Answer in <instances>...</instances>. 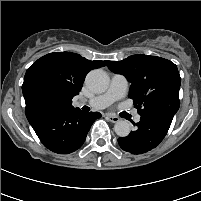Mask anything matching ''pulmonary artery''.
<instances>
[{
    "label": "pulmonary artery",
    "instance_id": "e3ab8cb5",
    "mask_svg": "<svg viewBox=\"0 0 201 201\" xmlns=\"http://www.w3.org/2000/svg\"><path fill=\"white\" fill-rule=\"evenodd\" d=\"M128 81L123 75L115 74L112 76L108 89L87 102L81 101L80 104H87L94 109H103L110 106L115 101L123 98L127 92ZM135 122L140 121V116L136 115Z\"/></svg>",
    "mask_w": 201,
    "mask_h": 201
}]
</instances>
